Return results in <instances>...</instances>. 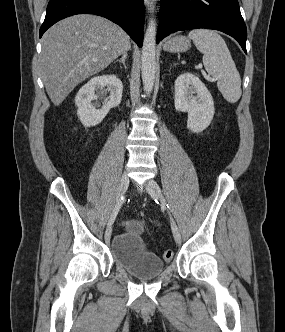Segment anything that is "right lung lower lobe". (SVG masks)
Returning <instances> with one entry per match:
<instances>
[{"instance_id":"1","label":"right lung lower lobe","mask_w":285,"mask_h":332,"mask_svg":"<svg viewBox=\"0 0 285 332\" xmlns=\"http://www.w3.org/2000/svg\"><path fill=\"white\" fill-rule=\"evenodd\" d=\"M81 13L108 18L120 25L139 47L142 46L145 19L143 0H50L39 37L59 20Z\"/></svg>"}]
</instances>
